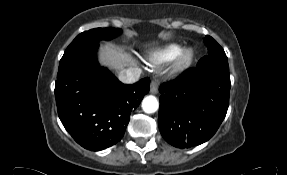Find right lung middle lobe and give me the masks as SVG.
Segmentation results:
<instances>
[{
	"label": "right lung middle lobe",
	"mask_w": 287,
	"mask_h": 175,
	"mask_svg": "<svg viewBox=\"0 0 287 175\" xmlns=\"http://www.w3.org/2000/svg\"><path fill=\"white\" fill-rule=\"evenodd\" d=\"M121 32L119 28H95L79 34L67 47L62 58L79 51L80 49L98 44L100 40H110Z\"/></svg>",
	"instance_id": "right-lung-middle-lobe-1"
}]
</instances>
